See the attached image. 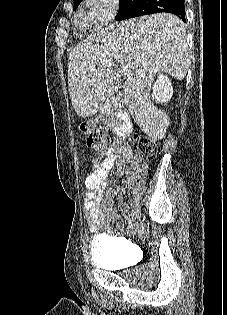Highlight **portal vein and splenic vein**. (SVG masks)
Here are the masks:
<instances>
[{"label": "portal vein and splenic vein", "mask_w": 227, "mask_h": 315, "mask_svg": "<svg viewBox=\"0 0 227 315\" xmlns=\"http://www.w3.org/2000/svg\"><path fill=\"white\" fill-rule=\"evenodd\" d=\"M105 64L108 65V66L112 65V63L110 61H105ZM121 71L123 73H126L128 71V67H122Z\"/></svg>", "instance_id": "obj_1"}]
</instances>
